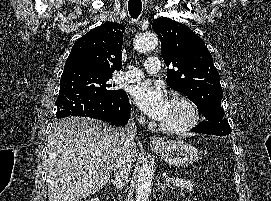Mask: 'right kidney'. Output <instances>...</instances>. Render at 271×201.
Returning a JSON list of instances; mask_svg holds the SVG:
<instances>
[{
    "mask_svg": "<svg viewBox=\"0 0 271 201\" xmlns=\"http://www.w3.org/2000/svg\"><path fill=\"white\" fill-rule=\"evenodd\" d=\"M90 201H100L98 198H92Z\"/></svg>",
    "mask_w": 271,
    "mask_h": 201,
    "instance_id": "1",
    "label": "right kidney"
}]
</instances>
